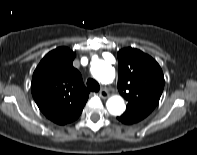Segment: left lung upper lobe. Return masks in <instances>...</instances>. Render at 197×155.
<instances>
[{"label": "left lung upper lobe", "mask_w": 197, "mask_h": 155, "mask_svg": "<svg viewBox=\"0 0 197 155\" xmlns=\"http://www.w3.org/2000/svg\"><path fill=\"white\" fill-rule=\"evenodd\" d=\"M118 90L128 101L121 115L131 123L139 122L157 106L164 88L159 64L149 55L134 48L118 52Z\"/></svg>", "instance_id": "obj_1"}]
</instances>
